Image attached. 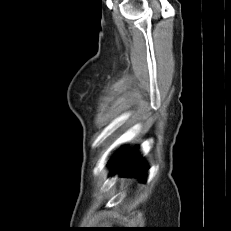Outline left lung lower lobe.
Here are the masks:
<instances>
[{
  "mask_svg": "<svg viewBox=\"0 0 231 231\" xmlns=\"http://www.w3.org/2000/svg\"><path fill=\"white\" fill-rule=\"evenodd\" d=\"M113 158L114 165L111 174L120 172L121 175H135L140 180H145L147 168L138 156L136 148L122 152L120 156Z\"/></svg>",
  "mask_w": 231,
  "mask_h": 231,
  "instance_id": "obj_1",
  "label": "left lung lower lobe"
}]
</instances>
